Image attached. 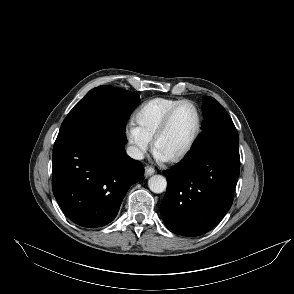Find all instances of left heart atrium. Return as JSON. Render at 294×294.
<instances>
[{
  "label": "left heart atrium",
  "mask_w": 294,
  "mask_h": 294,
  "mask_svg": "<svg viewBox=\"0 0 294 294\" xmlns=\"http://www.w3.org/2000/svg\"><path fill=\"white\" fill-rule=\"evenodd\" d=\"M155 154H156V156H157V158H158L159 160H161V161H165L166 158H164L163 156H161V155L158 154V153H155Z\"/></svg>",
  "instance_id": "left-heart-atrium-1"
}]
</instances>
